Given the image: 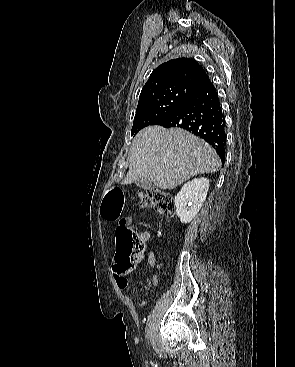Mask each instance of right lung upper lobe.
Wrapping results in <instances>:
<instances>
[{
	"mask_svg": "<svg viewBox=\"0 0 295 367\" xmlns=\"http://www.w3.org/2000/svg\"><path fill=\"white\" fill-rule=\"evenodd\" d=\"M210 83L201 65L189 58H178L158 66L143 86L140 98L163 90L181 87L193 92Z\"/></svg>",
	"mask_w": 295,
	"mask_h": 367,
	"instance_id": "cb5924a9",
	"label": "right lung upper lobe"
}]
</instances>
